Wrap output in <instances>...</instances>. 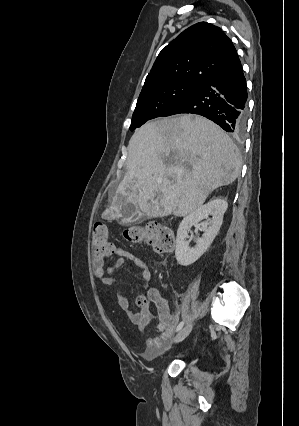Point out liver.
<instances>
[{"label": "liver", "mask_w": 299, "mask_h": 426, "mask_svg": "<svg viewBox=\"0 0 299 426\" xmlns=\"http://www.w3.org/2000/svg\"><path fill=\"white\" fill-rule=\"evenodd\" d=\"M240 153L215 123L183 114L143 125L128 145L126 174L102 217H122L132 204L147 218L186 216L210 192L229 185L240 173Z\"/></svg>", "instance_id": "1"}]
</instances>
